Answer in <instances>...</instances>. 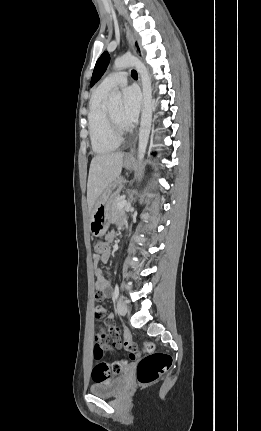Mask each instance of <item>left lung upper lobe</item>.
Returning a JSON list of instances; mask_svg holds the SVG:
<instances>
[{"label": "left lung upper lobe", "instance_id": "1", "mask_svg": "<svg viewBox=\"0 0 261 431\" xmlns=\"http://www.w3.org/2000/svg\"><path fill=\"white\" fill-rule=\"evenodd\" d=\"M110 61L108 52H104L97 60L91 79V86H93L104 74Z\"/></svg>", "mask_w": 261, "mask_h": 431}]
</instances>
